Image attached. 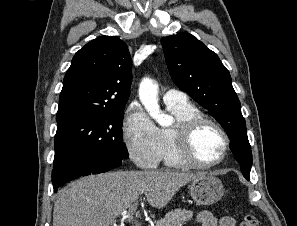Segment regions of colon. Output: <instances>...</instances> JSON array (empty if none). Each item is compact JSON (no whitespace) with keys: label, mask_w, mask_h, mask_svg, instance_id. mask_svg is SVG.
<instances>
[{"label":"colon","mask_w":297,"mask_h":226,"mask_svg":"<svg viewBox=\"0 0 297 226\" xmlns=\"http://www.w3.org/2000/svg\"><path fill=\"white\" fill-rule=\"evenodd\" d=\"M240 226H258V220L254 215L247 214L242 217Z\"/></svg>","instance_id":"colon-1"}]
</instances>
